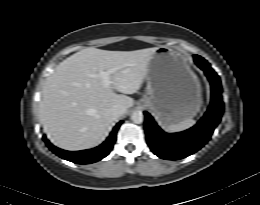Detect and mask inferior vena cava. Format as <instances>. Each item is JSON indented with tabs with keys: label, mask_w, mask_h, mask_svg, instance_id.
<instances>
[{
	"label": "inferior vena cava",
	"mask_w": 260,
	"mask_h": 205,
	"mask_svg": "<svg viewBox=\"0 0 260 205\" xmlns=\"http://www.w3.org/2000/svg\"><path fill=\"white\" fill-rule=\"evenodd\" d=\"M125 113V107L122 105H115L109 110V114L114 119L119 118Z\"/></svg>",
	"instance_id": "602c4592"
}]
</instances>
